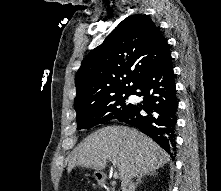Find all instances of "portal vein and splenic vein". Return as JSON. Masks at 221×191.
I'll return each mask as SVG.
<instances>
[{
	"label": "portal vein and splenic vein",
	"instance_id": "1",
	"mask_svg": "<svg viewBox=\"0 0 221 191\" xmlns=\"http://www.w3.org/2000/svg\"><path fill=\"white\" fill-rule=\"evenodd\" d=\"M110 161H112V163H113V166H115L116 167V161L115 160H113L112 158H108ZM114 176H115V178H117L118 177V173L117 172H115V174H114Z\"/></svg>",
	"mask_w": 221,
	"mask_h": 191
}]
</instances>
